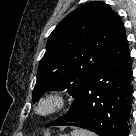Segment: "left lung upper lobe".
<instances>
[{
	"label": "left lung upper lobe",
	"instance_id": "obj_1",
	"mask_svg": "<svg viewBox=\"0 0 136 136\" xmlns=\"http://www.w3.org/2000/svg\"><path fill=\"white\" fill-rule=\"evenodd\" d=\"M121 27L119 15L99 1L88 2L67 15L49 36L33 101L49 90L67 89L75 98L101 65Z\"/></svg>",
	"mask_w": 136,
	"mask_h": 136
}]
</instances>
